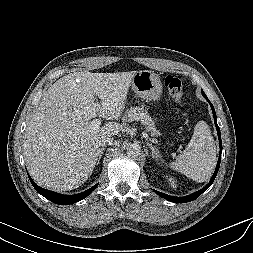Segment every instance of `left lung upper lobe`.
<instances>
[{"label": "left lung upper lobe", "mask_w": 253, "mask_h": 253, "mask_svg": "<svg viewBox=\"0 0 253 253\" xmlns=\"http://www.w3.org/2000/svg\"><path fill=\"white\" fill-rule=\"evenodd\" d=\"M202 95H203L204 97H207L203 91H202Z\"/></svg>", "instance_id": "left-lung-upper-lobe-1"}]
</instances>
